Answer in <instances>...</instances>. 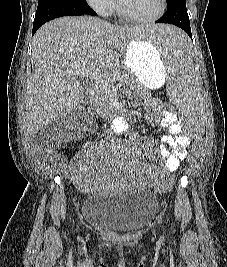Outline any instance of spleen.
I'll use <instances>...</instances> for the list:
<instances>
[{"mask_svg":"<svg viewBox=\"0 0 227 267\" xmlns=\"http://www.w3.org/2000/svg\"><path fill=\"white\" fill-rule=\"evenodd\" d=\"M131 30H141L133 37L140 43H150L155 47V55H163L169 63L168 93L178 105L177 115H203L202 96L199 81L195 78L191 57V44L184 34V29L167 22H142V25H131ZM184 125V137L191 140H202L205 137V124L202 116H180Z\"/></svg>","mask_w":227,"mask_h":267,"instance_id":"obj_1","label":"spleen"}]
</instances>
